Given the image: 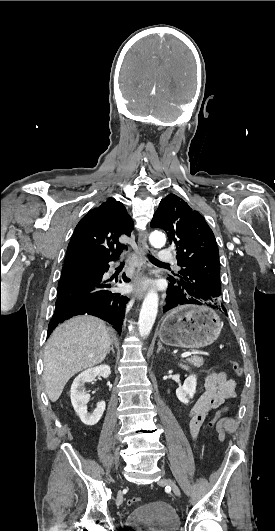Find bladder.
<instances>
[{"instance_id":"1","label":"bladder","mask_w":275,"mask_h":531,"mask_svg":"<svg viewBox=\"0 0 275 531\" xmlns=\"http://www.w3.org/2000/svg\"><path fill=\"white\" fill-rule=\"evenodd\" d=\"M128 526L136 531H179L180 519L170 504L156 501L135 507Z\"/></svg>"}]
</instances>
